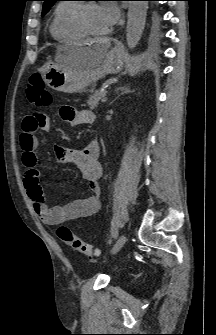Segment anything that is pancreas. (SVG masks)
<instances>
[{"label": "pancreas", "mask_w": 216, "mask_h": 335, "mask_svg": "<svg viewBox=\"0 0 216 335\" xmlns=\"http://www.w3.org/2000/svg\"><path fill=\"white\" fill-rule=\"evenodd\" d=\"M106 95V91H95L93 92L87 102L90 109L94 110L98 107L99 101Z\"/></svg>", "instance_id": "cf45deb5"}]
</instances>
